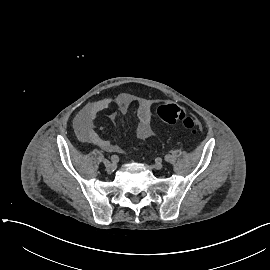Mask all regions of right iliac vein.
<instances>
[{
	"instance_id": "right-iliac-vein-1",
	"label": "right iliac vein",
	"mask_w": 270,
	"mask_h": 270,
	"mask_svg": "<svg viewBox=\"0 0 270 270\" xmlns=\"http://www.w3.org/2000/svg\"><path fill=\"white\" fill-rule=\"evenodd\" d=\"M104 166L106 167L107 171L111 172L114 171L116 169V164L115 163H111L109 160L104 159L103 160Z\"/></svg>"
}]
</instances>
